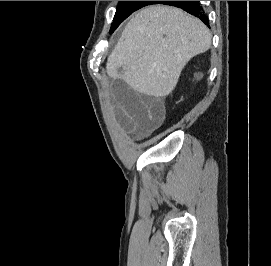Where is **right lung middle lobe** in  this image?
<instances>
[{
	"label": "right lung middle lobe",
	"mask_w": 271,
	"mask_h": 266,
	"mask_svg": "<svg viewBox=\"0 0 271 266\" xmlns=\"http://www.w3.org/2000/svg\"><path fill=\"white\" fill-rule=\"evenodd\" d=\"M158 1H119L116 13L111 25L110 33L123 22L134 11L151 4H157Z\"/></svg>",
	"instance_id": "right-lung-middle-lobe-1"
}]
</instances>
